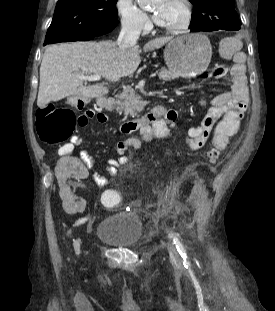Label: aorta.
Returning a JSON list of instances; mask_svg holds the SVG:
<instances>
[{"instance_id":"aorta-1","label":"aorta","mask_w":275,"mask_h":311,"mask_svg":"<svg viewBox=\"0 0 275 311\" xmlns=\"http://www.w3.org/2000/svg\"><path fill=\"white\" fill-rule=\"evenodd\" d=\"M158 0H137L141 8L149 6L151 3L157 2Z\"/></svg>"}]
</instances>
